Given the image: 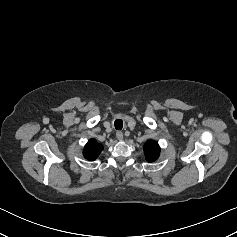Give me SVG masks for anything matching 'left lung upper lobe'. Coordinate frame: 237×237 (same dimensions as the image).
I'll use <instances>...</instances> for the list:
<instances>
[{"instance_id":"5c2ea615","label":"left lung upper lobe","mask_w":237,"mask_h":237,"mask_svg":"<svg viewBox=\"0 0 237 237\" xmlns=\"http://www.w3.org/2000/svg\"><path fill=\"white\" fill-rule=\"evenodd\" d=\"M160 147L156 141L149 140L144 145V154L148 162H153L159 157Z\"/></svg>"}]
</instances>
